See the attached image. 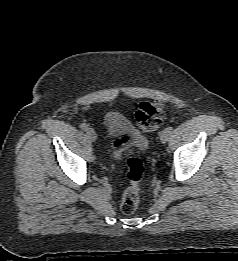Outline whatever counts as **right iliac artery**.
I'll return each instance as SVG.
<instances>
[{
  "instance_id": "obj_1",
  "label": "right iliac artery",
  "mask_w": 238,
  "mask_h": 261,
  "mask_svg": "<svg viewBox=\"0 0 238 261\" xmlns=\"http://www.w3.org/2000/svg\"><path fill=\"white\" fill-rule=\"evenodd\" d=\"M80 127L84 131H86L88 129V126L85 123H82Z\"/></svg>"
}]
</instances>
